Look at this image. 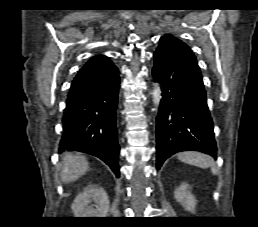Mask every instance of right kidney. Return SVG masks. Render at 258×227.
<instances>
[{
    "label": "right kidney",
    "instance_id": "obj_1",
    "mask_svg": "<svg viewBox=\"0 0 258 227\" xmlns=\"http://www.w3.org/2000/svg\"><path fill=\"white\" fill-rule=\"evenodd\" d=\"M75 217H106L109 210L108 195L103 188L86 187L72 203Z\"/></svg>",
    "mask_w": 258,
    "mask_h": 227
}]
</instances>
